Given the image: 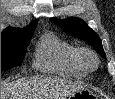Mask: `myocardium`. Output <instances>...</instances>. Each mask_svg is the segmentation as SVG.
I'll use <instances>...</instances> for the list:
<instances>
[{
  "label": "myocardium",
  "instance_id": "myocardium-1",
  "mask_svg": "<svg viewBox=\"0 0 115 99\" xmlns=\"http://www.w3.org/2000/svg\"><path fill=\"white\" fill-rule=\"evenodd\" d=\"M80 57L88 70L95 69L98 66V57L93 50L88 48L80 49Z\"/></svg>",
  "mask_w": 115,
  "mask_h": 99
}]
</instances>
